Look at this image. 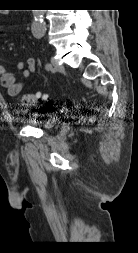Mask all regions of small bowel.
I'll list each match as a JSON object with an SVG mask.
<instances>
[{
	"label": "small bowel",
	"mask_w": 138,
	"mask_h": 253,
	"mask_svg": "<svg viewBox=\"0 0 138 253\" xmlns=\"http://www.w3.org/2000/svg\"><path fill=\"white\" fill-rule=\"evenodd\" d=\"M36 62L33 57H28L25 62L19 61L14 65L13 71L0 64V83L11 97L17 96L23 89V83L15 75L16 71H22L24 78L30 77L35 71Z\"/></svg>",
	"instance_id": "obj_1"
}]
</instances>
